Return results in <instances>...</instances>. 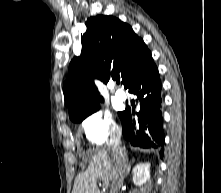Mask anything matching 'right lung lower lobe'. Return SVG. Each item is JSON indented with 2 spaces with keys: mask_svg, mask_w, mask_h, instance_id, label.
<instances>
[{
  "mask_svg": "<svg viewBox=\"0 0 221 193\" xmlns=\"http://www.w3.org/2000/svg\"><path fill=\"white\" fill-rule=\"evenodd\" d=\"M129 93L137 96L140 110L126 108L121 116L124 138L134 146L163 149L164 129L161 115V81L153 59L136 73L129 85ZM163 155V152H160Z\"/></svg>",
  "mask_w": 221,
  "mask_h": 193,
  "instance_id": "right-lung-lower-lobe-1",
  "label": "right lung lower lobe"
}]
</instances>
